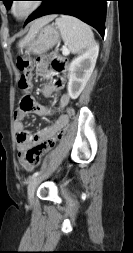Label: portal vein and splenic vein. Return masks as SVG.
Instances as JSON below:
<instances>
[{"label":"portal vein and splenic vein","instance_id":"obj_1","mask_svg":"<svg viewBox=\"0 0 133 253\" xmlns=\"http://www.w3.org/2000/svg\"><path fill=\"white\" fill-rule=\"evenodd\" d=\"M62 53L63 55H68L69 54V50L66 47L62 48Z\"/></svg>","mask_w":133,"mask_h":253}]
</instances>
